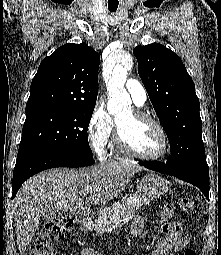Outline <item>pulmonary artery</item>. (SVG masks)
<instances>
[{"mask_svg": "<svg viewBox=\"0 0 221 255\" xmlns=\"http://www.w3.org/2000/svg\"><path fill=\"white\" fill-rule=\"evenodd\" d=\"M126 89L130 96L132 97L133 102L137 106H142L145 104L147 99V93L143 85L135 79H129L126 82Z\"/></svg>", "mask_w": 221, "mask_h": 255, "instance_id": "pulmonary-artery-1", "label": "pulmonary artery"}]
</instances>
